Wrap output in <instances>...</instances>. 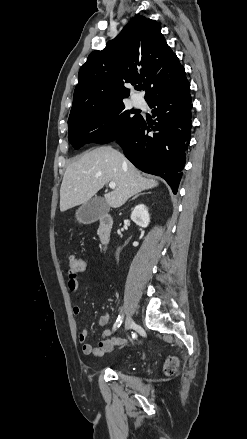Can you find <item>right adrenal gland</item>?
<instances>
[{
	"label": "right adrenal gland",
	"instance_id": "2a0ac1e0",
	"mask_svg": "<svg viewBox=\"0 0 247 439\" xmlns=\"http://www.w3.org/2000/svg\"><path fill=\"white\" fill-rule=\"evenodd\" d=\"M145 194H150V192L137 194L131 200H134V199L138 198L139 196H142V195H145Z\"/></svg>",
	"mask_w": 247,
	"mask_h": 439
}]
</instances>
